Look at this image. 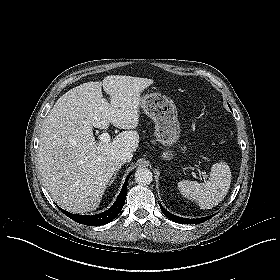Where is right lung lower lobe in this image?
<instances>
[{
	"mask_svg": "<svg viewBox=\"0 0 280 280\" xmlns=\"http://www.w3.org/2000/svg\"><path fill=\"white\" fill-rule=\"evenodd\" d=\"M130 175L131 174H129L128 177L126 178L125 183L122 187V190H121L117 200L115 201L113 206L111 208H109L108 210H106L100 214H97V215H89V216L71 214L60 208L61 211L64 214H66L68 217H70L72 220L76 221L77 223L85 224V225H89V226H100V225H104L106 223L111 222L120 213V211L122 210V208L124 206L125 199H126V193H127V182H128Z\"/></svg>",
	"mask_w": 280,
	"mask_h": 280,
	"instance_id": "right-lung-lower-lobe-1",
	"label": "right lung lower lobe"
}]
</instances>
